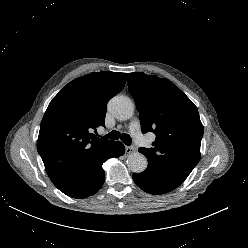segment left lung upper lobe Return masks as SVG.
Instances as JSON below:
<instances>
[{"label":"left lung upper lobe","mask_w":248,"mask_h":248,"mask_svg":"<svg viewBox=\"0 0 248 248\" xmlns=\"http://www.w3.org/2000/svg\"><path fill=\"white\" fill-rule=\"evenodd\" d=\"M128 89L139 111L142 132L156 135L152 148H140L148 167L181 185L200 160L204 127L195 104L172 82L129 73Z\"/></svg>","instance_id":"obj_1"}]
</instances>
